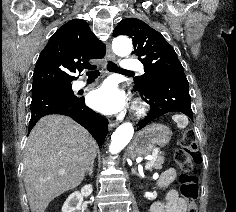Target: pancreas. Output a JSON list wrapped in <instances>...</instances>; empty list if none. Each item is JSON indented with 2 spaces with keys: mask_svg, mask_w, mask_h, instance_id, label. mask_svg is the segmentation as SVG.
Segmentation results:
<instances>
[{
  "mask_svg": "<svg viewBox=\"0 0 236 212\" xmlns=\"http://www.w3.org/2000/svg\"><path fill=\"white\" fill-rule=\"evenodd\" d=\"M163 163H164V157L157 154L153 160L147 162L146 164H150L149 170H152V169H161Z\"/></svg>",
  "mask_w": 236,
  "mask_h": 212,
  "instance_id": "1",
  "label": "pancreas"
}]
</instances>
